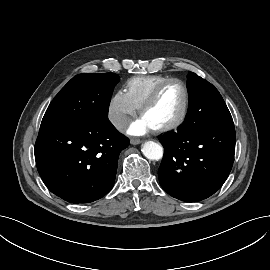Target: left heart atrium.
Masks as SVG:
<instances>
[{
    "mask_svg": "<svg viewBox=\"0 0 270 270\" xmlns=\"http://www.w3.org/2000/svg\"><path fill=\"white\" fill-rule=\"evenodd\" d=\"M153 129L154 128L151 124H149L143 117H140L129 125L127 133L133 136H141L147 134Z\"/></svg>",
    "mask_w": 270,
    "mask_h": 270,
    "instance_id": "obj_1",
    "label": "left heart atrium"
}]
</instances>
